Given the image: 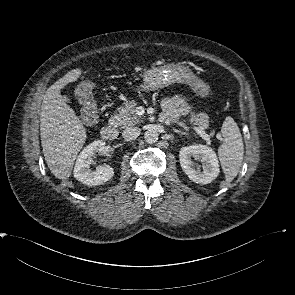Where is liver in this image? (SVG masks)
Instances as JSON below:
<instances>
[{
  "label": "liver",
  "mask_w": 295,
  "mask_h": 295,
  "mask_svg": "<svg viewBox=\"0 0 295 295\" xmlns=\"http://www.w3.org/2000/svg\"><path fill=\"white\" fill-rule=\"evenodd\" d=\"M82 73L73 69L51 85L40 113V136L46 163L53 175L65 180L71 175L79 151L86 140V129L74 110L61 96V89L76 81Z\"/></svg>",
  "instance_id": "1"
}]
</instances>
